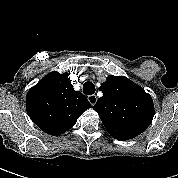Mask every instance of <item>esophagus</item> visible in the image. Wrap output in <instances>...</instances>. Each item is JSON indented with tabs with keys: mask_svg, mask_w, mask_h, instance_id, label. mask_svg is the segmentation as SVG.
Segmentation results:
<instances>
[{
	"mask_svg": "<svg viewBox=\"0 0 178 178\" xmlns=\"http://www.w3.org/2000/svg\"><path fill=\"white\" fill-rule=\"evenodd\" d=\"M88 101L90 102V104L93 106L96 104L97 102V96L96 95H90L88 96Z\"/></svg>",
	"mask_w": 178,
	"mask_h": 178,
	"instance_id": "esophagus-1",
	"label": "esophagus"
}]
</instances>
